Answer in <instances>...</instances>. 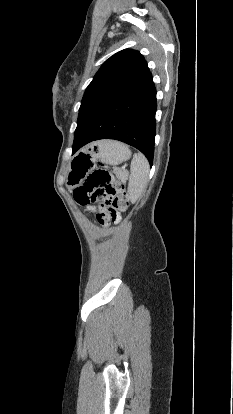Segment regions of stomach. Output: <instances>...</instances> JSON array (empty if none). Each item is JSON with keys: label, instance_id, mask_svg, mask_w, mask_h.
Returning <instances> with one entry per match:
<instances>
[{"label": "stomach", "instance_id": "0dacf381", "mask_svg": "<svg viewBox=\"0 0 233 414\" xmlns=\"http://www.w3.org/2000/svg\"><path fill=\"white\" fill-rule=\"evenodd\" d=\"M131 156L129 148L117 141L104 140L91 146L89 150L76 153L71 160L66 185L74 188L88 176L98 161L116 166Z\"/></svg>", "mask_w": 233, "mask_h": 414}]
</instances>
